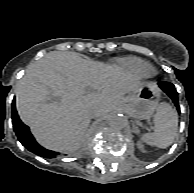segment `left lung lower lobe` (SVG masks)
<instances>
[{
	"instance_id": "obj_1",
	"label": "left lung lower lobe",
	"mask_w": 194,
	"mask_h": 193,
	"mask_svg": "<svg viewBox=\"0 0 194 193\" xmlns=\"http://www.w3.org/2000/svg\"><path fill=\"white\" fill-rule=\"evenodd\" d=\"M159 86L172 99L175 106L177 107L178 112H180L178 98H177V91L174 85L169 82H159Z\"/></svg>"
}]
</instances>
